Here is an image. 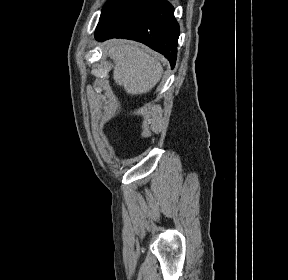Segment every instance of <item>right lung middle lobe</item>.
I'll return each mask as SVG.
<instances>
[{
    "mask_svg": "<svg viewBox=\"0 0 288 280\" xmlns=\"http://www.w3.org/2000/svg\"><path fill=\"white\" fill-rule=\"evenodd\" d=\"M124 0H108L102 10V14L105 13L106 11H108L109 9H111L112 7H114L115 5L123 2ZM101 14V15H102Z\"/></svg>",
    "mask_w": 288,
    "mask_h": 280,
    "instance_id": "dd1d6c3e",
    "label": "right lung middle lobe"
}]
</instances>
